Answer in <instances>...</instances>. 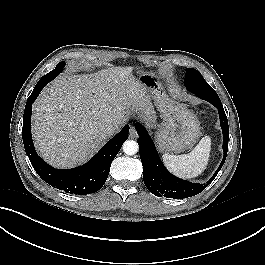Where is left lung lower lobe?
I'll return each mask as SVG.
<instances>
[{
    "label": "left lung lower lobe",
    "instance_id": "obj_1",
    "mask_svg": "<svg viewBox=\"0 0 265 265\" xmlns=\"http://www.w3.org/2000/svg\"><path fill=\"white\" fill-rule=\"evenodd\" d=\"M186 88L196 94L200 99L210 102L219 112L220 125L223 131L224 156L219 168L209 180V182H211L220 171L226 159L229 137L228 120L219 96L207 82L190 83L186 85ZM136 130L139 135L138 144L140 159L143 165V180L145 186L151 193L158 197L164 196L173 199H183L192 197L206 188L205 183H190L169 173L161 162L155 145L145 128L136 124Z\"/></svg>",
    "mask_w": 265,
    "mask_h": 265
}]
</instances>
